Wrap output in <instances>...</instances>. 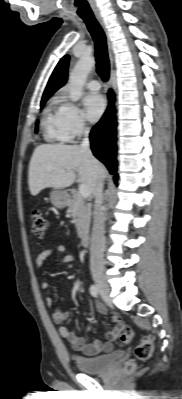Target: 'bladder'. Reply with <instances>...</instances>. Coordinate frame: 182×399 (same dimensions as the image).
Instances as JSON below:
<instances>
[{"instance_id":"1","label":"bladder","mask_w":182,"mask_h":399,"mask_svg":"<svg viewBox=\"0 0 182 399\" xmlns=\"http://www.w3.org/2000/svg\"><path fill=\"white\" fill-rule=\"evenodd\" d=\"M124 355L122 350H116L109 354L96 357L76 356L74 362L77 368L85 374H100L107 372Z\"/></svg>"}]
</instances>
